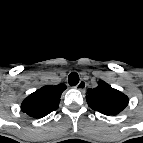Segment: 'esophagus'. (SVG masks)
<instances>
[{
	"label": "esophagus",
	"mask_w": 143,
	"mask_h": 143,
	"mask_svg": "<svg viewBox=\"0 0 143 143\" xmlns=\"http://www.w3.org/2000/svg\"><path fill=\"white\" fill-rule=\"evenodd\" d=\"M76 88L78 90H84L86 88V82L83 79L80 80V82L78 83V85L76 86Z\"/></svg>",
	"instance_id": "34e87169"
}]
</instances>
